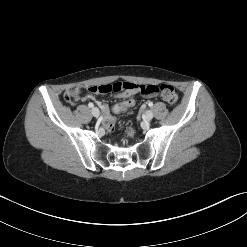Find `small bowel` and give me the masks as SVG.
Returning <instances> with one entry per match:
<instances>
[{"label": "small bowel", "instance_id": "obj_1", "mask_svg": "<svg viewBox=\"0 0 247 247\" xmlns=\"http://www.w3.org/2000/svg\"><path fill=\"white\" fill-rule=\"evenodd\" d=\"M135 94H138V93H136L135 91L130 90V89H125V90H122L120 92H116L115 97L118 99H123L125 102L127 99H131V97ZM146 98H148V97H146ZM81 99L86 100L87 96H83V97H81ZM131 100L134 102V105L132 106V108H133L135 106V101L133 99H131ZM103 108L106 109V106L103 105Z\"/></svg>", "mask_w": 247, "mask_h": 247}]
</instances>
